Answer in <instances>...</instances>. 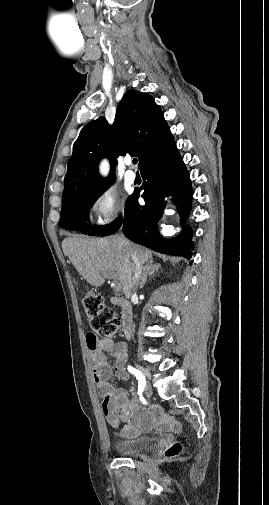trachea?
I'll list each match as a JSON object with an SVG mask.
<instances>
[{"label": "trachea", "instance_id": "obj_1", "mask_svg": "<svg viewBox=\"0 0 269 505\" xmlns=\"http://www.w3.org/2000/svg\"><path fill=\"white\" fill-rule=\"evenodd\" d=\"M133 163H134V164H137V158H134V159H133Z\"/></svg>", "mask_w": 269, "mask_h": 505}]
</instances>
